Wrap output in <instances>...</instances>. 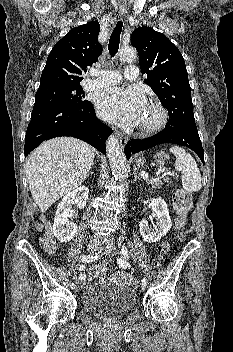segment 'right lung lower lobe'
Masks as SVG:
<instances>
[{"instance_id": "obj_1", "label": "right lung lower lobe", "mask_w": 233, "mask_h": 352, "mask_svg": "<svg viewBox=\"0 0 233 352\" xmlns=\"http://www.w3.org/2000/svg\"><path fill=\"white\" fill-rule=\"evenodd\" d=\"M111 133L112 129L98 120L93 104L89 101L76 105L33 108L25 136L24 153L27 156L45 140L72 136L106 155L105 142Z\"/></svg>"}]
</instances>
